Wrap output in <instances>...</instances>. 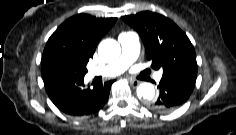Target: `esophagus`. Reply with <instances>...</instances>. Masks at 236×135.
I'll return each mask as SVG.
<instances>
[{
	"label": "esophagus",
	"mask_w": 236,
	"mask_h": 135,
	"mask_svg": "<svg viewBox=\"0 0 236 135\" xmlns=\"http://www.w3.org/2000/svg\"><path fill=\"white\" fill-rule=\"evenodd\" d=\"M128 82L133 86V87H137L140 84V81L132 79V78H128Z\"/></svg>",
	"instance_id": "esophagus-1"
}]
</instances>
